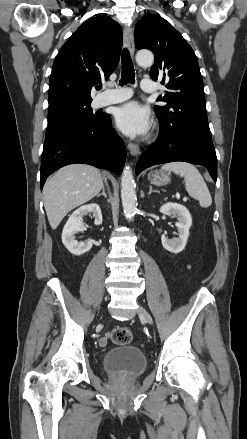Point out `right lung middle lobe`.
Here are the masks:
<instances>
[{
	"label": "right lung middle lobe",
	"instance_id": "right-lung-middle-lobe-1",
	"mask_svg": "<svg viewBox=\"0 0 247 439\" xmlns=\"http://www.w3.org/2000/svg\"><path fill=\"white\" fill-rule=\"evenodd\" d=\"M92 101L71 102L48 112L46 134L77 124L98 122L103 114H94L90 106Z\"/></svg>",
	"mask_w": 247,
	"mask_h": 439
}]
</instances>
